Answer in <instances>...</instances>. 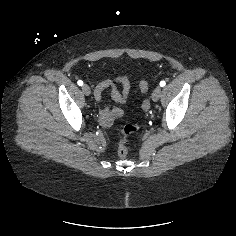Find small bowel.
<instances>
[{
	"mask_svg": "<svg viewBox=\"0 0 236 236\" xmlns=\"http://www.w3.org/2000/svg\"><path fill=\"white\" fill-rule=\"evenodd\" d=\"M115 79L120 83L121 90L117 89L112 80H104L95 88L94 96L96 100L100 101L102 99V93L106 89H110L112 98L115 102L123 104L128 100L131 91L130 80L124 75L116 76ZM123 116L124 111L120 108L110 109L108 107H103L100 110V121L106 126L111 125L114 118H120Z\"/></svg>",
	"mask_w": 236,
	"mask_h": 236,
	"instance_id": "obj_1",
	"label": "small bowel"
}]
</instances>
